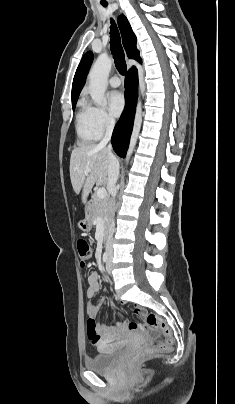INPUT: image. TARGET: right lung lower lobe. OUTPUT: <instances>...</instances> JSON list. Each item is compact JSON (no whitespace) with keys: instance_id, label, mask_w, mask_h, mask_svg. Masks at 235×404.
<instances>
[{"instance_id":"right-lung-lower-lobe-1","label":"right lung lower lobe","mask_w":235,"mask_h":404,"mask_svg":"<svg viewBox=\"0 0 235 404\" xmlns=\"http://www.w3.org/2000/svg\"><path fill=\"white\" fill-rule=\"evenodd\" d=\"M137 69L133 67L130 69L125 78V97H126V107L122 113L121 118L117 122L113 135H112V145L114 151L120 157H125L130 135L133 128L135 107L137 100V90H138V80H137Z\"/></svg>"}]
</instances>
